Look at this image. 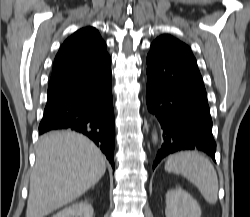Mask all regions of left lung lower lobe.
Here are the masks:
<instances>
[{"mask_svg":"<svg viewBox=\"0 0 250 217\" xmlns=\"http://www.w3.org/2000/svg\"><path fill=\"white\" fill-rule=\"evenodd\" d=\"M146 62L147 106L164 131L153 169L166 156L184 150H201L215 160L207 94L192 52L153 42Z\"/></svg>","mask_w":250,"mask_h":217,"instance_id":"left-lung-lower-lobe-1","label":"left lung lower lobe"}]
</instances>
